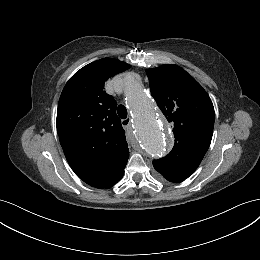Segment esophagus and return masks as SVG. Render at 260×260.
I'll return each instance as SVG.
<instances>
[{"instance_id":"obj_1","label":"esophagus","mask_w":260,"mask_h":260,"mask_svg":"<svg viewBox=\"0 0 260 260\" xmlns=\"http://www.w3.org/2000/svg\"><path fill=\"white\" fill-rule=\"evenodd\" d=\"M121 123H122V126H123V127L127 128V127L130 126L131 119H130V118L123 119V120L121 121Z\"/></svg>"}]
</instances>
